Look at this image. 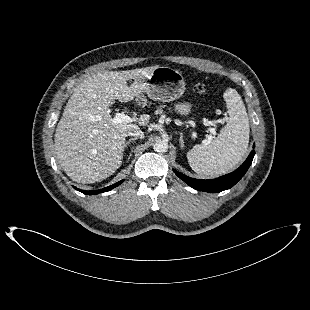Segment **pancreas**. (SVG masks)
<instances>
[{
	"label": "pancreas",
	"instance_id": "obj_1",
	"mask_svg": "<svg viewBox=\"0 0 310 310\" xmlns=\"http://www.w3.org/2000/svg\"><path fill=\"white\" fill-rule=\"evenodd\" d=\"M161 112H162L161 109H158V110L156 111L157 114H159V113H161Z\"/></svg>",
	"mask_w": 310,
	"mask_h": 310
}]
</instances>
